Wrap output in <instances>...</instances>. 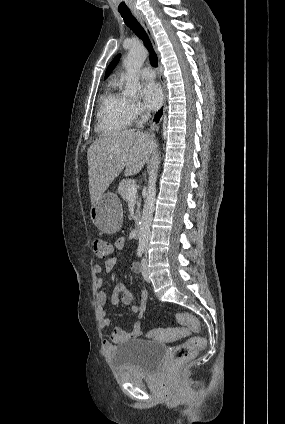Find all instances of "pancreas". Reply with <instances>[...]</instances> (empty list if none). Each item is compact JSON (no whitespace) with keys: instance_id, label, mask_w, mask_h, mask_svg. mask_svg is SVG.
<instances>
[{"instance_id":"obj_1","label":"pancreas","mask_w":285,"mask_h":424,"mask_svg":"<svg viewBox=\"0 0 285 424\" xmlns=\"http://www.w3.org/2000/svg\"><path fill=\"white\" fill-rule=\"evenodd\" d=\"M132 184V182L130 180H126L123 179L118 186V193L121 195V197L123 198V200L127 201L129 196H128V188L129 186ZM137 198V213H139V209H140V199Z\"/></svg>"}]
</instances>
